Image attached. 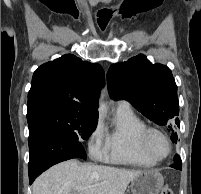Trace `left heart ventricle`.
I'll use <instances>...</instances> for the list:
<instances>
[{"label": "left heart ventricle", "mask_w": 201, "mask_h": 194, "mask_svg": "<svg viewBox=\"0 0 201 194\" xmlns=\"http://www.w3.org/2000/svg\"><path fill=\"white\" fill-rule=\"evenodd\" d=\"M148 150L154 157H163L167 153V143L157 133L150 134L148 138Z\"/></svg>", "instance_id": "left-heart-ventricle-1"}]
</instances>
